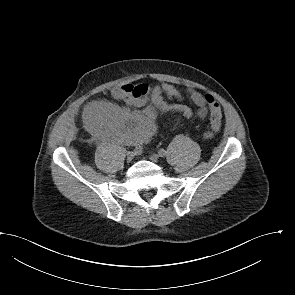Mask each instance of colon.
Instances as JSON below:
<instances>
[{
    "instance_id": "obj_1",
    "label": "colon",
    "mask_w": 295,
    "mask_h": 295,
    "mask_svg": "<svg viewBox=\"0 0 295 295\" xmlns=\"http://www.w3.org/2000/svg\"><path fill=\"white\" fill-rule=\"evenodd\" d=\"M205 99L210 108V120L211 122L218 123L222 119L221 108L219 104L215 101V99L211 95H205ZM212 133H207L206 137L211 138Z\"/></svg>"
}]
</instances>
